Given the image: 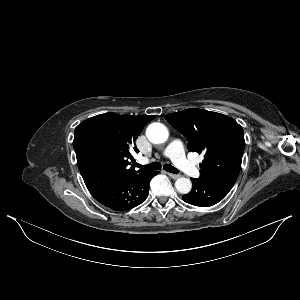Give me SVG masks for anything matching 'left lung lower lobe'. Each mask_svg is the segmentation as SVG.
Wrapping results in <instances>:
<instances>
[{"instance_id":"obj_1","label":"left lung lower lobe","mask_w":300,"mask_h":300,"mask_svg":"<svg viewBox=\"0 0 300 300\" xmlns=\"http://www.w3.org/2000/svg\"><path fill=\"white\" fill-rule=\"evenodd\" d=\"M192 190L190 193L183 195L182 199L191 205L199 207H209L221 201L231 189L219 186L200 178H191Z\"/></svg>"}]
</instances>
